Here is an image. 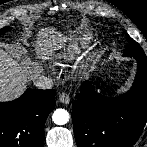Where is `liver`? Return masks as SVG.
I'll list each match as a JSON object with an SVG mask.
<instances>
[{"instance_id":"1","label":"liver","mask_w":147,"mask_h":147,"mask_svg":"<svg viewBox=\"0 0 147 147\" xmlns=\"http://www.w3.org/2000/svg\"><path fill=\"white\" fill-rule=\"evenodd\" d=\"M66 40L67 37L63 34L49 28L40 32V40L37 44L39 47H47L45 49L56 46L61 48ZM40 72V67L35 66L28 59L18 63L8 52L0 48V102L20 96L26 88L28 79H36Z\"/></svg>"}]
</instances>
